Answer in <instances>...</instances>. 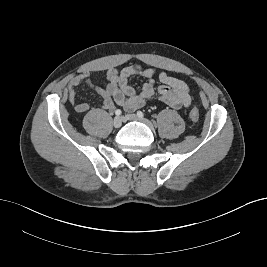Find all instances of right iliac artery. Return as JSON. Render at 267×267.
Instances as JSON below:
<instances>
[{
    "label": "right iliac artery",
    "mask_w": 267,
    "mask_h": 267,
    "mask_svg": "<svg viewBox=\"0 0 267 267\" xmlns=\"http://www.w3.org/2000/svg\"><path fill=\"white\" fill-rule=\"evenodd\" d=\"M115 114H116L117 116H120V115L122 114V111H121L120 109H117V110L115 111Z\"/></svg>",
    "instance_id": "right-iliac-artery-1"
}]
</instances>
